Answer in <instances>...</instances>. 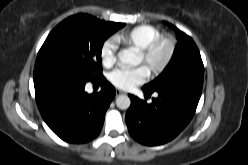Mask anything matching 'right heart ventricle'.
Returning <instances> with one entry per match:
<instances>
[{
  "instance_id": "e07e8e85",
  "label": "right heart ventricle",
  "mask_w": 248,
  "mask_h": 165,
  "mask_svg": "<svg viewBox=\"0 0 248 165\" xmlns=\"http://www.w3.org/2000/svg\"><path fill=\"white\" fill-rule=\"evenodd\" d=\"M162 36L161 31L152 25H139L115 36L122 45L132 46L139 50L145 48L152 40Z\"/></svg>"
}]
</instances>
